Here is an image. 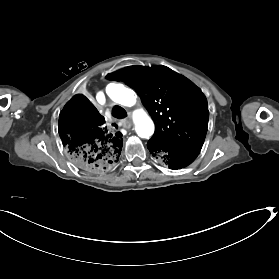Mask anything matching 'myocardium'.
Returning <instances> with one entry per match:
<instances>
[{
    "label": "myocardium",
    "mask_w": 279,
    "mask_h": 279,
    "mask_svg": "<svg viewBox=\"0 0 279 279\" xmlns=\"http://www.w3.org/2000/svg\"><path fill=\"white\" fill-rule=\"evenodd\" d=\"M86 76H89V74H86ZM130 103H131V104H138V103H140V99L137 97V95H135V96L133 97V99L131 100ZM101 132H102V133H103V132H107V129H104V130H102Z\"/></svg>",
    "instance_id": "f54148a6"
}]
</instances>
